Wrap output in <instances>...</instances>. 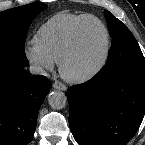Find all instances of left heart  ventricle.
<instances>
[{
    "mask_svg": "<svg viewBox=\"0 0 145 145\" xmlns=\"http://www.w3.org/2000/svg\"><path fill=\"white\" fill-rule=\"evenodd\" d=\"M105 47V34L102 27L94 22H87L81 30L79 48L69 63V71L81 73L93 67L102 57Z\"/></svg>",
    "mask_w": 145,
    "mask_h": 145,
    "instance_id": "obj_1",
    "label": "left heart ventricle"
}]
</instances>
